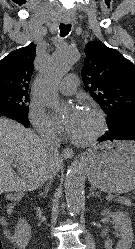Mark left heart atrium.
I'll return each instance as SVG.
<instances>
[{
  "label": "left heart atrium",
  "instance_id": "1",
  "mask_svg": "<svg viewBox=\"0 0 135 249\" xmlns=\"http://www.w3.org/2000/svg\"><path fill=\"white\" fill-rule=\"evenodd\" d=\"M83 116V110L79 107H74L70 110L64 121V127L69 134H73L77 129Z\"/></svg>",
  "mask_w": 135,
  "mask_h": 249
}]
</instances>
